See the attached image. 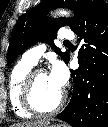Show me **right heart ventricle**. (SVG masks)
<instances>
[{
	"mask_svg": "<svg viewBox=\"0 0 108 127\" xmlns=\"http://www.w3.org/2000/svg\"><path fill=\"white\" fill-rule=\"evenodd\" d=\"M34 65L19 61L11 70L8 82V96L14 113L21 118H29L32 116L22 105L21 102V88L22 84L32 70Z\"/></svg>",
	"mask_w": 108,
	"mask_h": 127,
	"instance_id": "right-heart-ventricle-1",
	"label": "right heart ventricle"
}]
</instances>
